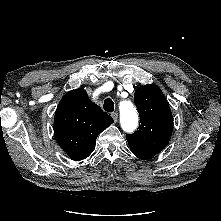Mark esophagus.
<instances>
[{"label":"esophagus","instance_id":"obj_1","mask_svg":"<svg viewBox=\"0 0 221 221\" xmlns=\"http://www.w3.org/2000/svg\"><path fill=\"white\" fill-rule=\"evenodd\" d=\"M111 116L114 119V121L117 122V120H118V113L117 112H113V113H111Z\"/></svg>","mask_w":221,"mask_h":221}]
</instances>
